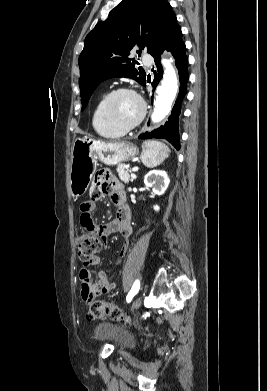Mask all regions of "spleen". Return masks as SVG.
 <instances>
[{
	"label": "spleen",
	"mask_w": 267,
	"mask_h": 391,
	"mask_svg": "<svg viewBox=\"0 0 267 391\" xmlns=\"http://www.w3.org/2000/svg\"><path fill=\"white\" fill-rule=\"evenodd\" d=\"M170 149L159 141H145L142 147L141 161L148 168L160 165L168 158Z\"/></svg>",
	"instance_id": "spleen-1"
}]
</instances>
